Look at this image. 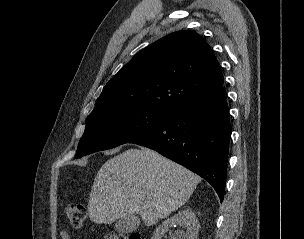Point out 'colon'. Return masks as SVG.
I'll return each instance as SVG.
<instances>
[{
    "instance_id": "colon-1",
    "label": "colon",
    "mask_w": 304,
    "mask_h": 239,
    "mask_svg": "<svg viewBox=\"0 0 304 239\" xmlns=\"http://www.w3.org/2000/svg\"><path fill=\"white\" fill-rule=\"evenodd\" d=\"M65 214L73 228H82L86 219V209L82 204H68L65 208ZM105 239H142V237L138 232L119 233L117 231L110 230L106 233Z\"/></svg>"
}]
</instances>
